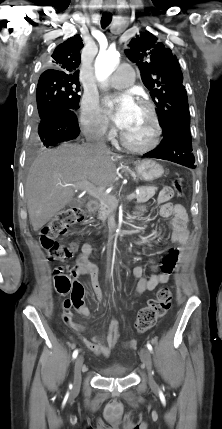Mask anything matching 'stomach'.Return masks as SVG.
I'll return each mask as SVG.
<instances>
[{
	"label": "stomach",
	"instance_id": "0dacf381",
	"mask_svg": "<svg viewBox=\"0 0 222 429\" xmlns=\"http://www.w3.org/2000/svg\"><path fill=\"white\" fill-rule=\"evenodd\" d=\"M137 178L143 181H153L160 178L163 173V167L153 160H144L135 164Z\"/></svg>",
	"mask_w": 222,
	"mask_h": 429
}]
</instances>
